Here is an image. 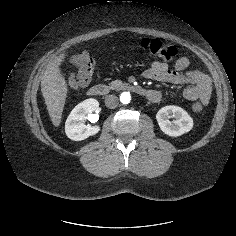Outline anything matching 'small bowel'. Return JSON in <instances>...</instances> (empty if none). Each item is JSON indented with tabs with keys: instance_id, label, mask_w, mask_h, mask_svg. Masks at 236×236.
<instances>
[{
	"instance_id": "1",
	"label": "small bowel",
	"mask_w": 236,
	"mask_h": 236,
	"mask_svg": "<svg viewBox=\"0 0 236 236\" xmlns=\"http://www.w3.org/2000/svg\"><path fill=\"white\" fill-rule=\"evenodd\" d=\"M190 61L187 57H180L172 68L167 62L155 61L147 68L143 75L145 78L158 82L182 85V96L188 101L200 102L207 105L211 98L212 86L208 75L198 70H188ZM153 95L149 100L158 102L162 99V93L151 90Z\"/></svg>"
}]
</instances>
